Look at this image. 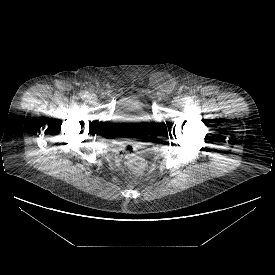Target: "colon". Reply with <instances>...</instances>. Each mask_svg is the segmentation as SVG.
I'll list each match as a JSON object with an SVG mask.
<instances>
[{
    "label": "colon",
    "mask_w": 275,
    "mask_h": 275,
    "mask_svg": "<svg viewBox=\"0 0 275 275\" xmlns=\"http://www.w3.org/2000/svg\"><path fill=\"white\" fill-rule=\"evenodd\" d=\"M119 159L123 160L128 168L135 173L143 170L145 166L144 158L132 146H125L120 154Z\"/></svg>",
    "instance_id": "obj_1"
}]
</instances>
